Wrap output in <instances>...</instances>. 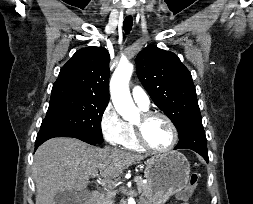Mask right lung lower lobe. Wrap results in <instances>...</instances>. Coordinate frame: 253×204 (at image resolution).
<instances>
[{
	"instance_id": "1",
	"label": "right lung lower lobe",
	"mask_w": 253,
	"mask_h": 204,
	"mask_svg": "<svg viewBox=\"0 0 253 204\" xmlns=\"http://www.w3.org/2000/svg\"><path fill=\"white\" fill-rule=\"evenodd\" d=\"M54 137H73V138L80 139V140H82L86 143L92 144V145L97 144V143H95L89 139H86L82 136H79L77 134L67 133V132L59 131V130L40 129V131L37 135V138H36L35 149H37L46 140H48L50 138H54Z\"/></svg>"
}]
</instances>
